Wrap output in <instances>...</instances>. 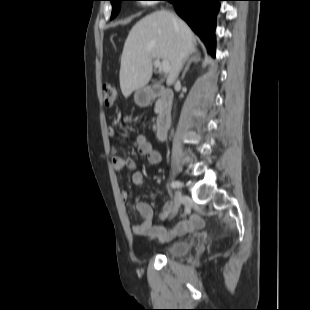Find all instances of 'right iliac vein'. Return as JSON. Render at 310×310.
I'll list each match as a JSON object with an SVG mask.
<instances>
[{"label": "right iliac vein", "mask_w": 310, "mask_h": 310, "mask_svg": "<svg viewBox=\"0 0 310 310\" xmlns=\"http://www.w3.org/2000/svg\"><path fill=\"white\" fill-rule=\"evenodd\" d=\"M184 201H185V196L183 195L182 191L178 189L175 192V206H174L173 213H172L173 216L177 214L181 204Z\"/></svg>", "instance_id": "right-iliac-vein-1"}]
</instances>
